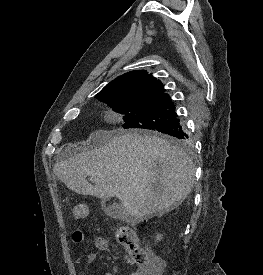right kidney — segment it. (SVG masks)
Instances as JSON below:
<instances>
[{"mask_svg":"<svg viewBox=\"0 0 263 275\" xmlns=\"http://www.w3.org/2000/svg\"><path fill=\"white\" fill-rule=\"evenodd\" d=\"M161 239H162V235H161V234H157L156 240H157V241H160Z\"/></svg>","mask_w":263,"mask_h":275,"instance_id":"right-kidney-1","label":"right kidney"}]
</instances>
